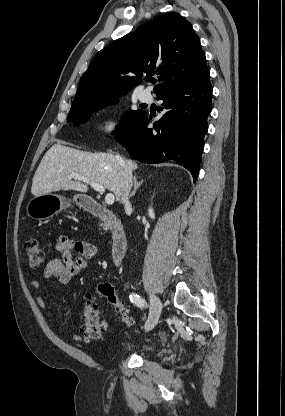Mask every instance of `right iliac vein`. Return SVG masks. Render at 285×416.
Here are the masks:
<instances>
[{
	"instance_id": "right-iliac-vein-1",
	"label": "right iliac vein",
	"mask_w": 285,
	"mask_h": 416,
	"mask_svg": "<svg viewBox=\"0 0 285 416\" xmlns=\"http://www.w3.org/2000/svg\"><path fill=\"white\" fill-rule=\"evenodd\" d=\"M150 301L153 305V311L151 312L149 319L145 323V329L147 331L152 330L154 326L157 324L163 307L161 300L156 295L151 294Z\"/></svg>"
}]
</instances>
